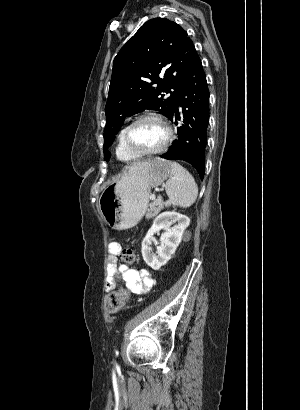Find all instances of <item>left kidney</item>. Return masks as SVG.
Here are the masks:
<instances>
[{
  "label": "left kidney",
  "mask_w": 300,
  "mask_h": 410,
  "mask_svg": "<svg viewBox=\"0 0 300 410\" xmlns=\"http://www.w3.org/2000/svg\"><path fill=\"white\" fill-rule=\"evenodd\" d=\"M172 223H176L173 229L170 228ZM189 224L190 219L186 215L177 212L159 214L142 241L141 252L145 263L153 270H159L165 265L181 243L183 233ZM160 230H164V233L161 235V244L157 246V252L154 254L151 249L153 235Z\"/></svg>",
  "instance_id": "obj_1"
}]
</instances>
